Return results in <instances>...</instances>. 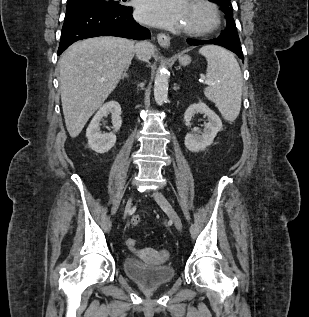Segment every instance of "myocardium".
Here are the masks:
<instances>
[{"instance_id":"obj_1","label":"myocardium","mask_w":309,"mask_h":317,"mask_svg":"<svg viewBox=\"0 0 309 317\" xmlns=\"http://www.w3.org/2000/svg\"><path fill=\"white\" fill-rule=\"evenodd\" d=\"M191 6L200 9L207 15V22L199 26H187L184 33L190 36H206L218 29L221 23L220 14L216 6L207 0H192Z\"/></svg>"}]
</instances>
